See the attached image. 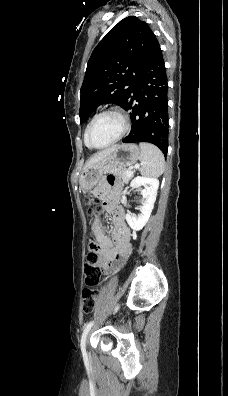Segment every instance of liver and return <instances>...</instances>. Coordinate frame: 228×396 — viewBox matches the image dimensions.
<instances>
[{
	"label": "liver",
	"mask_w": 228,
	"mask_h": 396,
	"mask_svg": "<svg viewBox=\"0 0 228 396\" xmlns=\"http://www.w3.org/2000/svg\"><path fill=\"white\" fill-rule=\"evenodd\" d=\"M117 146H118V145H114V146H112V147H109V148H107V149H105V150H102V151L97 152L96 154H94V155L86 162V164H85V166H84V170L87 169V168H89V167H91V166L94 165L95 163H97V162L103 160L106 156H108L109 154H111V153L115 150V148H116Z\"/></svg>",
	"instance_id": "6515ba94"
}]
</instances>
